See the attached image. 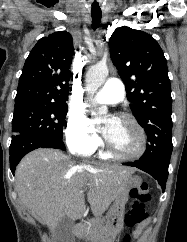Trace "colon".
<instances>
[{"label":"colon","mask_w":187,"mask_h":242,"mask_svg":"<svg viewBox=\"0 0 187 242\" xmlns=\"http://www.w3.org/2000/svg\"><path fill=\"white\" fill-rule=\"evenodd\" d=\"M131 196L134 201L126 214L125 223L130 229H133L145 221L148 216L145 210L146 205H148L151 200L148 184L142 183L138 188L132 189ZM124 242H130L128 236L125 237Z\"/></svg>","instance_id":"colon-1"}]
</instances>
